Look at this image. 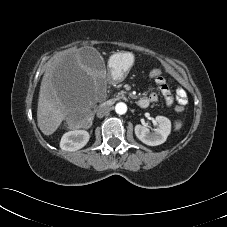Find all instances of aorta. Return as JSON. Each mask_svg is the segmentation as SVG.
<instances>
[{
	"mask_svg": "<svg viewBox=\"0 0 227 227\" xmlns=\"http://www.w3.org/2000/svg\"><path fill=\"white\" fill-rule=\"evenodd\" d=\"M115 111L117 114H125L127 112V105L123 102H119L115 106Z\"/></svg>",
	"mask_w": 227,
	"mask_h": 227,
	"instance_id": "762f6f07",
	"label": "aorta"
}]
</instances>
